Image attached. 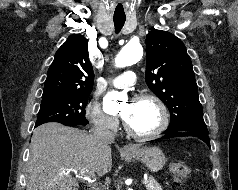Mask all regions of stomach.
<instances>
[{
    "instance_id": "0dacf381",
    "label": "stomach",
    "mask_w": 238,
    "mask_h": 190,
    "mask_svg": "<svg viewBox=\"0 0 238 190\" xmlns=\"http://www.w3.org/2000/svg\"><path fill=\"white\" fill-rule=\"evenodd\" d=\"M126 155L141 161L151 172L161 170L167 161L164 153L158 147L137 148L133 152H127Z\"/></svg>"
}]
</instances>
